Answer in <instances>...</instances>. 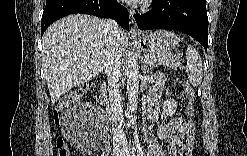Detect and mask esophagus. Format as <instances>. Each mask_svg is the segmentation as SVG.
<instances>
[{
	"mask_svg": "<svg viewBox=\"0 0 247 156\" xmlns=\"http://www.w3.org/2000/svg\"><path fill=\"white\" fill-rule=\"evenodd\" d=\"M129 24H130V31L131 33H138V26L134 18V12L129 10Z\"/></svg>",
	"mask_w": 247,
	"mask_h": 156,
	"instance_id": "34e87169",
	"label": "esophagus"
}]
</instances>
